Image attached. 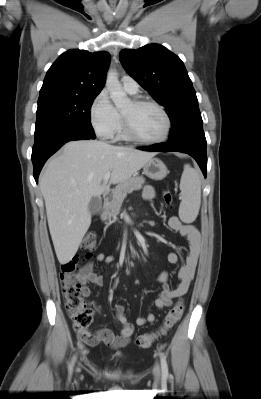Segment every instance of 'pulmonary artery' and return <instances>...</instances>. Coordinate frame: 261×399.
Segmentation results:
<instances>
[{
  "mask_svg": "<svg viewBox=\"0 0 261 399\" xmlns=\"http://www.w3.org/2000/svg\"><path fill=\"white\" fill-rule=\"evenodd\" d=\"M122 86L125 91L130 94H135L138 91V83L131 76H123L121 78Z\"/></svg>",
  "mask_w": 261,
  "mask_h": 399,
  "instance_id": "1",
  "label": "pulmonary artery"
}]
</instances>
